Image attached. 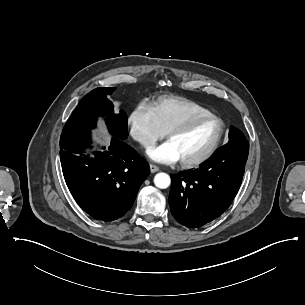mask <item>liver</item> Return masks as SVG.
I'll list each match as a JSON object with an SVG mask.
<instances>
[{"mask_svg":"<svg viewBox=\"0 0 305 305\" xmlns=\"http://www.w3.org/2000/svg\"><path fill=\"white\" fill-rule=\"evenodd\" d=\"M100 137V139L102 140V141H104L105 143H109L110 142V140L108 139V138H105V137H103V136H99Z\"/></svg>","mask_w":305,"mask_h":305,"instance_id":"1","label":"liver"}]
</instances>
